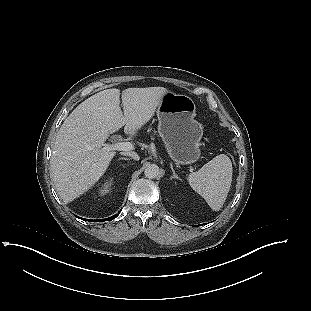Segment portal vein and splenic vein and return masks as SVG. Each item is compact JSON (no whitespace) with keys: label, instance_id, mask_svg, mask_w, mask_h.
I'll use <instances>...</instances> for the list:
<instances>
[{"label":"portal vein and splenic vein","instance_id":"18ae733b","mask_svg":"<svg viewBox=\"0 0 311 311\" xmlns=\"http://www.w3.org/2000/svg\"><path fill=\"white\" fill-rule=\"evenodd\" d=\"M104 150H118V151H130L133 149V144L130 142H118L115 144H104Z\"/></svg>","mask_w":311,"mask_h":311}]
</instances>
